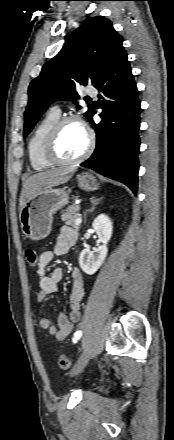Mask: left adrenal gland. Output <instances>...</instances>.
I'll use <instances>...</instances> for the list:
<instances>
[{"mask_svg":"<svg viewBox=\"0 0 174 440\" xmlns=\"http://www.w3.org/2000/svg\"><path fill=\"white\" fill-rule=\"evenodd\" d=\"M90 200H91V203H92V207L89 210H87V212L94 211L95 207L99 204V202L102 200V198L92 197ZM85 222H86V214H85Z\"/></svg>","mask_w":174,"mask_h":440,"instance_id":"1","label":"left adrenal gland"}]
</instances>
